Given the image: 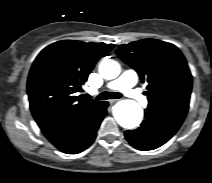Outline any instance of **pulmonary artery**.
Instances as JSON below:
<instances>
[{
  "instance_id": "pulmonary-artery-1",
  "label": "pulmonary artery",
  "mask_w": 212,
  "mask_h": 183,
  "mask_svg": "<svg viewBox=\"0 0 212 183\" xmlns=\"http://www.w3.org/2000/svg\"><path fill=\"white\" fill-rule=\"evenodd\" d=\"M139 75L135 70L124 71L119 78L109 82L106 85V89L118 90L125 94L127 97L134 99L142 105H147L148 100L143 96L137 89L135 85L138 82Z\"/></svg>"
}]
</instances>
